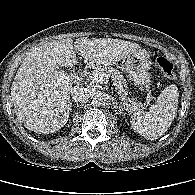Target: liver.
<instances>
[{
    "instance_id": "obj_1",
    "label": "liver",
    "mask_w": 195,
    "mask_h": 195,
    "mask_svg": "<svg viewBox=\"0 0 195 195\" xmlns=\"http://www.w3.org/2000/svg\"><path fill=\"white\" fill-rule=\"evenodd\" d=\"M76 52L88 68H108L141 47L133 42L103 38L62 39L34 48L21 63L11 86L17 119L38 134L60 130L70 114L75 80L59 66L77 64Z\"/></svg>"
}]
</instances>
